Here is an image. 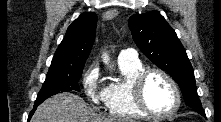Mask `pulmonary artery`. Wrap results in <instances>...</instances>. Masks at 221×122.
I'll return each instance as SVG.
<instances>
[{
  "instance_id": "pulmonary-artery-1",
  "label": "pulmonary artery",
  "mask_w": 221,
  "mask_h": 122,
  "mask_svg": "<svg viewBox=\"0 0 221 122\" xmlns=\"http://www.w3.org/2000/svg\"><path fill=\"white\" fill-rule=\"evenodd\" d=\"M118 59L128 61H139L137 52L131 48L121 50Z\"/></svg>"
}]
</instances>
